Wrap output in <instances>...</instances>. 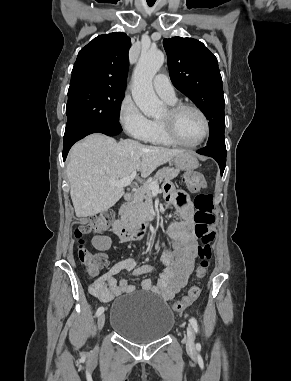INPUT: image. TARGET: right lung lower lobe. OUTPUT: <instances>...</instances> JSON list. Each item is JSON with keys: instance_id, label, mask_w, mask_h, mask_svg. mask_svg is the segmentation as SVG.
Segmentation results:
<instances>
[{"instance_id": "98d812e1", "label": "right lung lower lobe", "mask_w": 291, "mask_h": 381, "mask_svg": "<svg viewBox=\"0 0 291 381\" xmlns=\"http://www.w3.org/2000/svg\"><path fill=\"white\" fill-rule=\"evenodd\" d=\"M121 131H122V128H121L120 124L119 125L112 124V125L101 126V127H97V128L92 129V130H89L86 133H84L83 135H81L78 139L64 140V149H63V153H62L63 160L65 161L67 154H68V151L71 148V146L75 142H77L78 140L84 138L85 136L92 134V133H98V132L106 134L108 136H114V135L119 134Z\"/></svg>"}]
</instances>
